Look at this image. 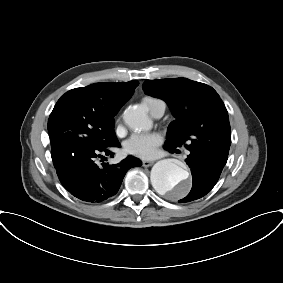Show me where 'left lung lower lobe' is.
<instances>
[{
	"label": "left lung lower lobe",
	"instance_id": "left-lung-lower-lobe-1",
	"mask_svg": "<svg viewBox=\"0 0 283 283\" xmlns=\"http://www.w3.org/2000/svg\"><path fill=\"white\" fill-rule=\"evenodd\" d=\"M164 147L173 152L176 148ZM186 162L191 168L193 185L190 193L179 202H190L206 195L217 183L227 159H213L202 153L190 151Z\"/></svg>",
	"mask_w": 283,
	"mask_h": 283
}]
</instances>
